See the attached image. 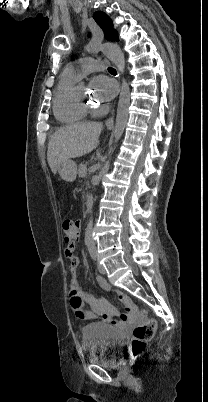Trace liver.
<instances>
[{
	"mask_svg": "<svg viewBox=\"0 0 208 402\" xmlns=\"http://www.w3.org/2000/svg\"><path fill=\"white\" fill-rule=\"evenodd\" d=\"M101 130V122H77L54 132L47 152L48 164L53 174H57L63 162L70 158H80L95 150L99 144Z\"/></svg>",
	"mask_w": 208,
	"mask_h": 402,
	"instance_id": "1",
	"label": "liver"
}]
</instances>
